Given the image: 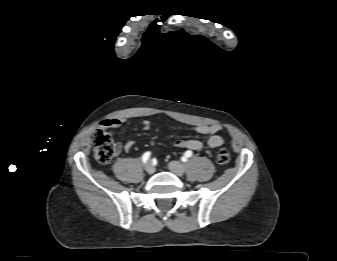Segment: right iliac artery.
<instances>
[{
	"mask_svg": "<svg viewBox=\"0 0 337 261\" xmlns=\"http://www.w3.org/2000/svg\"><path fill=\"white\" fill-rule=\"evenodd\" d=\"M150 155H151L150 152H145V153L143 154V156H142V162H143V163H146V162L149 160Z\"/></svg>",
	"mask_w": 337,
	"mask_h": 261,
	"instance_id": "right-iliac-artery-1",
	"label": "right iliac artery"
}]
</instances>
